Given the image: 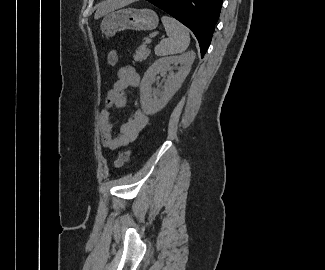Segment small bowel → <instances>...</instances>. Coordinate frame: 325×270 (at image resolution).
I'll return each instance as SVG.
<instances>
[{"instance_id": "obj_1", "label": "small bowel", "mask_w": 325, "mask_h": 270, "mask_svg": "<svg viewBox=\"0 0 325 270\" xmlns=\"http://www.w3.org/2000/svg\"><path fill=\"white\" fill-rule=\"evenodd\" d=\"M139 84L138 73L130 67H123L118 72V80L107 93L105 107L99 116V130L102 146L109 151L119 150L132 143L148 124V116L136 107L131 117L120 126L118 135L116 137L112 135L110 109L125 107L127 104L125 92Z\"/></svg>"}]
</instances>
